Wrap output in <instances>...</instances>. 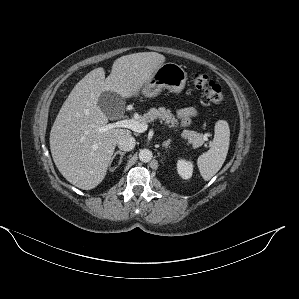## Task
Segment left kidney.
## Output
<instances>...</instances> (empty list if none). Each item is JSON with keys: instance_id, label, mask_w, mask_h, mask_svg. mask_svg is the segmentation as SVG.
I'll list each match as a JSON object with an SVG mask.
<instances>
[{"instance_id": "5707ae66", "label": "left kidney", "mask_w": 299, "mask_h": 299, "mask_svg": "<svg viewBox=\"0 0 299 299\" xmlns=\"http://www.w3.org/2000/svg\"><path fill=\"white\" fill-rule=\"evenodd\" d=\"M177 170L178 174L183 178V179H189L192 176L193 173V164L190 161L186 160H178L177 162Z\"/></svg>"}]
</instances>
